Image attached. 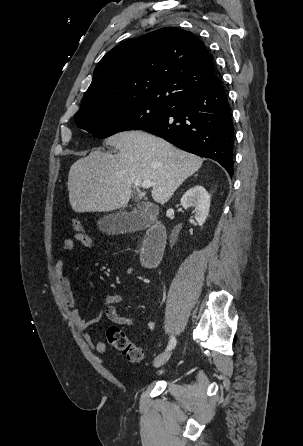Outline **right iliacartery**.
<instances>
[{
	"mask_svg": "<svg viewBox=\"0 0 303 446\" xmlns=\"http://www.w3.org/2000/svg\"><path fill=\"white\" fill-rule=\"evenodd\" d=\"M176 346V338L174 336H171L169 344L166 348V351L172 350Z\"/></svg>",
	"mask_w": 303,
	"mask_h": 446,
	"instance_id": "right-iliac-artery-1",
	"label": "right iliac artery"
}]
</instances>
